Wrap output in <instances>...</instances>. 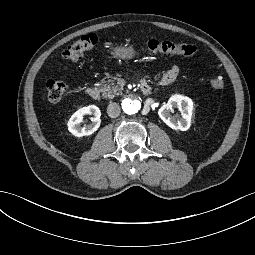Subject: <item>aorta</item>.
Instances as JSON below:
<instances>
[{"instance_id":"aorta-1","label":"aorta","mask_w":255,"mask_h":255,"mask_svg":"<svg viewBox=\"0 0 255 255\" xmlns=\"http://www.w3.org/2000/svg\"><path fill=\"white\" fill-rule=\"evenodd\" d=\"M123 109L129 115L136 114L141 109V102L134 97L127 98L123 101Z\"/></svg>"}]
</instances>
